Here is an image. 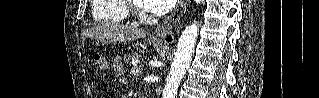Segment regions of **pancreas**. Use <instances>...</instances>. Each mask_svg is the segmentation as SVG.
Wrapping results in <instances>:
<instances>
[{
    "mask_svg": "<svg viewBox=\"0 0 319 98\" xmlns=\"http://www.w3.org/2000/svg\"><path fill=\"white\" fill-rule=\"evenodd\" d=\"M138 58V53H132V54H125L124 55V62H129L133 59Z\"/></svg>",
    "mask_w": 319,
    "mask_h": 98,
    "instance_id": "cf45deb5",
    "label": "pancreas"
}]
</instances>
